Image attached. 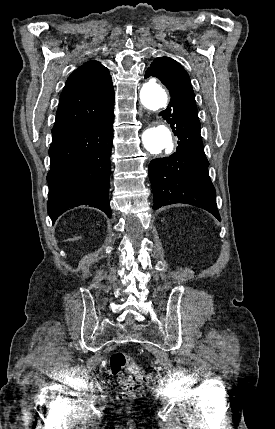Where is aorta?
I'll return each instance as SVG.
<instances>
[{"mask_svg": "<svg viewBox=\"0 0 275 429\" xmlns=\"http://www.w3.org/2000/svg\"><path fill=\"white\" fill-rule=\"evenodd\" d=\"M140 101L146 109L157 111L166 107L168 97L162 85L156 79H151L143 85ZM142 143L151 154H160L162 150L170 153L173 150L174 138L167 126L155 125L142 133Z\"/></svg>", "mask_w": 275, "mask_h": 429, "instance_id": "762f6f07", "label": "aorta"}]
</instances>
